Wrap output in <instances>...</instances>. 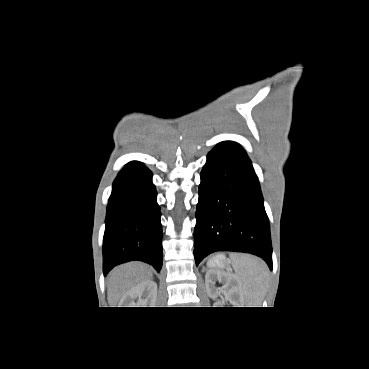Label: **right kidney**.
Masks as SVG:
<instances>
[{"label": "right kidney", "mask_w": 369, "mask_h": 369, "mask_svg": "<svg viewBox=\"0 0 369 369\" xmlns=\"http://www.w3.org/2000/svg\"><path fill=\"white\" fill-rule=\"evenodd\" d=\"M157 299V284L143 281L131 288L121 299L122 307H154ZM136 301V302H135Z\"/></svg>", "instance_id": "right-kidney-1"}]
</instances>
